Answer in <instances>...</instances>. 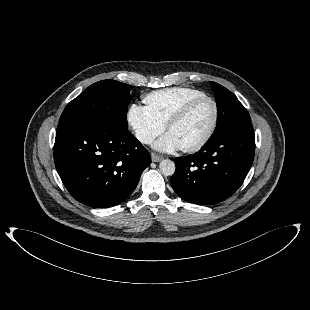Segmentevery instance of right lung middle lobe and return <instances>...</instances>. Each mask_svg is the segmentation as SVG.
Masks as SVG:
<instances>
[{
  "label": "right lung middle lobe",
  "mask_w": 310,
  "mask_h": 310,
  "mask_svg": "<svg viewBox=\"0 0 310 310\" xmlns=\"http://www.w3.org/2000/svg\"><path fill=\"white\" fill-rule=\"evenodd\" d=\"M132 87L115 80H102L84 90L64 109L59 124L90 121L112 129H128L127 107Z\"/></svg>",
  "instance_id": "dd1d6c3e"
}]
</instances>
